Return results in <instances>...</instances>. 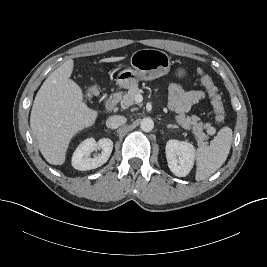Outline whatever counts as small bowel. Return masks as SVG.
Listing matches in <instances>:
<instances>
[{
  "mask_svg": "<svg viewBox=\"0 0 267 267\" xmlns=\"http://www.w3.org/2000/svg\"><path fill=\"white\" fill-rule=\"evenodd\" d=\"M205 98L202 90H185L182 85L173 83L169 87V108L178 113H185L196 103Z\"/></svg>",
  "mask_w": 267,
  "mask_h": 267,
  "instance_id": "c3829d8e",
  "label": "small bowel"
}]
</instances>
